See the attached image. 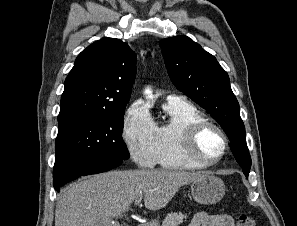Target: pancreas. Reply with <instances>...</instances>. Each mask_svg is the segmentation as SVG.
I'll list each match as a JSON object with an SVG mask.
<instances>
[{
	"label": "pancreas",
	"instance_id": "obj_1",
	"mask_svg": "<svg viewBox=\"0 0 297 226\" xmlns=\"http://www.w3.org/2000/svg\"><path fill=\"white\" fill-rule=\"evenodd\" d=\"M187 218V215L179 213H169L165 217V219L162 222L161 226H179L181 223H183L184 219Z\"/></svg>",
	"mask_w": 297,
	"mask_h": 226
}]
</instances>
